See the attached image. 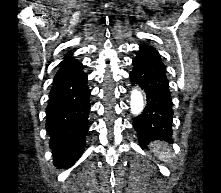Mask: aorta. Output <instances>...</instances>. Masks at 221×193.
Instances as JSON below:
<instances>
[{
  "mask_svg": "<svg viewBox=\"0 0 221 193\" xmlns=\"http://www.w3.org/2000/svg\"><path fill=\"white\" fill-rule=\"evenodd\" d=\"M130 98L131 112L135 115L140 114L144 108V99L142 93L137 89H133Z\"/></svg>",
  "mask_w": 221,
  "mask_h": 193,
  "instance_id": "762f6f07",
  "label": "aorta"
}]
</instances>
